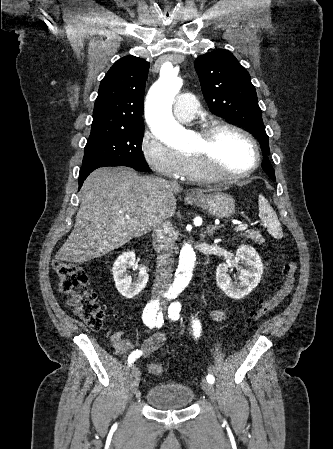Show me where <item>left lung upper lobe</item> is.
I'll return each mask as SVG.
<instances>
[{
	"label": "left lung upper lobe",
	"mask_w": 333,
	"mask_h": 449,
	"mask_svg": "<svg viewBox=\"0 0 333 449\" xmlns=\"http://www.w3.org/2000/svg\"><path fill=\"white\" fill-rule=\"evenodd\" d=\"M195 69L211 112L236 122L257 138L264 156L262 167L275 180L274 169L268 159L270 150L262 111L247 70L230 51L224 49L197 57ZM265 160L269 167L263 165Z\"/></svg>",
	"instance_id": "left-lung-upper-lobe-1"
}]
</instances>
